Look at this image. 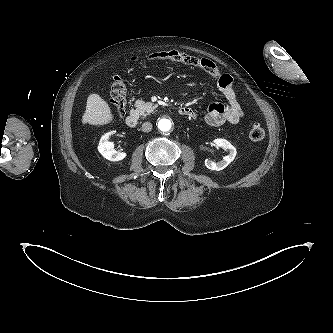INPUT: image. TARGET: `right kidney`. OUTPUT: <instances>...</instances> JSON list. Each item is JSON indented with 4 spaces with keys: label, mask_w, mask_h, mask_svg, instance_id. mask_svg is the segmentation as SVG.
Instances as JSON below:
<instances>
[{
    "label": "right kidney",
    "mask_w": 333,
    "mask_h": 333,
    "mask_svg": "<svg viewBox=\"0 0 333 333\" xmlns=\"http://www.w3.org/2000/svg\"><path fill=\"white\" fill-rule=\"evenodd\" d=\"M113 134H115V131L108 132L101 137L98 145V151L107 160L120 161L123 160L127 154L125 152L116 151L114 149V144L108 141L110 136Z\"/></svg>",
    "instance_id": "1"
}]
</instances>
